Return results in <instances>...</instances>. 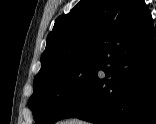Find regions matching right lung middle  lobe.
<instances>
[{
	"label": "right lung middle lobe",
	"instance_id": "obj_1",
	"mask_svg": "<svg viewBox=\"0 0 156 124\" xmlns=\"http://www.w3.org/2000/svg\"><path fill=\"white\" fill-rule=\"evenodd\" d=\"M101 59L58 68L34 79V93L28 101L38 124H54L76 102L96 76Z\"/></svg>",
	"mask_w": 156,
	"mask_h": 124
}]
</instances>
